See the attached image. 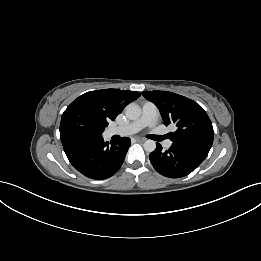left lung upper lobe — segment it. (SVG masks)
Listing matches in <instances>:
<instances>
[{
  "mask_svg": "<svg viewBox=\"0 0 261 261\" xmlns=\"http://www.w3.org/2000/svg\"><path fill=\"white\" fill-rule=\"evenodd\" d=\"M142 94L159 108L166 126L175 124L177 127L174 133H169L173 143L211 148L214 137L213 126L199 104L168 91H144Z\"/></svg>",
  "mask_w": 261,
  "mask_h": 261,
  "instance_id": "obj_1",
  "label": "left lung upper lobe"
}]
</instances>
